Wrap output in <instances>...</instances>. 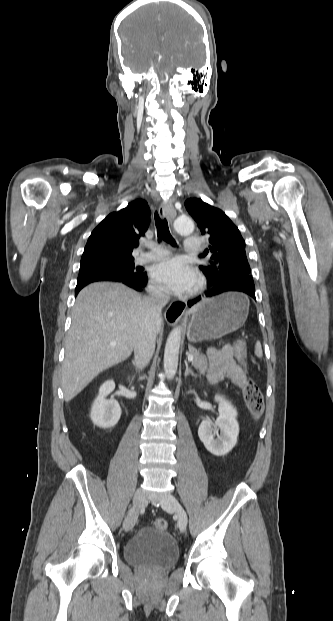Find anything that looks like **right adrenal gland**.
Wrapping results in <instances>:
<instances>
[{
  "label": "right adrenal gland",
  "mask_w": 333,
  "mask_h": 621,
  "mask_svg": "<svg viewBox=\"0 0 333 621\" xmlns=\"http://www.w3.org/2000/svg\"><path fill=\"white\" fill-rule=\"evenodd\" d=\"M132 363H133L134 366H136V362L134 360L132 361Z\"/></svg>",
  "instance_id": "right-adrenal-gland-1"
}]
</instances>
